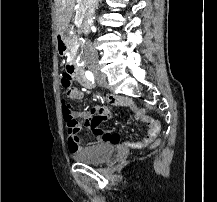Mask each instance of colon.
I'll use <instances>...</instances> for the list:
<instances>
[{
  "mask_svg": "<svg viewBox=\"0 0 217 202\" xmlns=\"http://www.w3.org/2000/svg\"><path fill=\"white\" fill-rule=\"evenodd\" d=\"M59 96H61V104H62V111L61 117H64V120L69 128V131H75L78 129V123L76 119L73 117V109L72 105L68 102V97L72 96V91H59ZM138 114L140 116L146 115V110L141 109L139 110ZM133 115H136V112H133ZM133 121L136 123L137 116H133ZM162 137H157L156 143L162 142Z\"/></svg>",
  "mask_w": 217,
  "mask_h": 202,
  "instance_id": "obj_1",
  "label": "colon"
}]
</instances>
